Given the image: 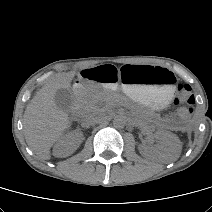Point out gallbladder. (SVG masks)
Segmentation results:
<instances>
[{"label": "gallbladder", "mask_w": 212, "mask_h": 212, "mask_svg": "<svg viewBox=\"0 0 212 212\" xmlns=\"http://www.w3.org/2000/svg\"><path fill=\"white\" fill-rule=\"evenodd\" d=\"M54 100L59 109L69 111L73 100L71 90L69 88L58 89L54 95Z\"/></svg>", "instance_id": "obj_1"}]
</instances>
